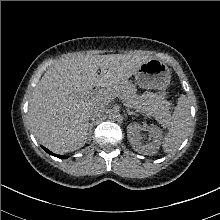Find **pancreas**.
<instances>
[{
  "mask_svg": "<svg viewBox=\"0 0 220 220\" xmlns=\"http://www.w3.org/2000/svg\"><path fill=\"white\" fill-rule=\"evenodd\" d=\"M122 99H124L128 105L136 106L139 104L140 96L135 94V86L129 82H125L123 88L117 93ZM153 114L160 119L162 123H168L170 118V112L168 110V104L165 101H153L150 103Z\"/></svg>",
  "mask_w": 220,
  "mask_h": 220,
  "instance_id": "cf45deb5",
  "label": "pancreas"
}]
</instances>
